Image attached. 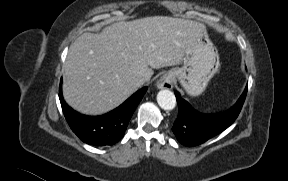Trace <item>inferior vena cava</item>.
<instances>
[{
    "label": "inferior vena cava",
    "mask_w": 288,
    "mask_h": 181,
    "mask_svg": "<svg viewBox=\"0 0 288 181\" xmlns=\"http://www.w3.org/2000/svg\"><path fill=\"white\" fill-rule=\"evenodd\" d=\"M144 83H145V79L144 78L136 79L135 82H134L136 87H141Z\"/></svg>",
    "instance_id": "obj_1"
}]
</instances>
